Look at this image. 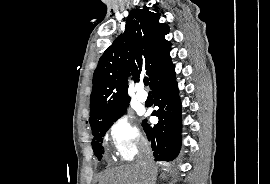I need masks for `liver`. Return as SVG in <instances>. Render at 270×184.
<instances>
[{
	"label": "liver",
	"mask_w": 270,
	"mask_h": 184,
	"mask_svg": "<svg viewBox=\"0 0 270 184\" xmlns=\"http://www.w3.org/2000/svg\"><path fill=\"white\" fill-rule=\"evenodd\" d=\"M154 171L144 169L140 165H124L107 170L101 177L99 184H149Z\"/></svg>",
	"instance_id": "6515ba94"
}]
</instances>
